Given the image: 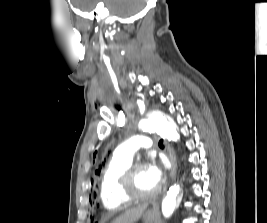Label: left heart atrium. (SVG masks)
Masks as SVG:
<instances>
[{"label": "left heart atrium", "instance_id": "obj_1", "mask_svg": "<svg viewBox=\"0 0 267 223\" xmlns=\"http://www.w3.org/2000/svg\"><path fill=\"white\" fill-rule=\"evenodd\" d=\"M147 174L149 179L155 184L159 185L162 181L163 172L160 166L153 163L147 167Z\"/></svg>", "mask_w": 267, "mask_h": 223}]
</instances>
